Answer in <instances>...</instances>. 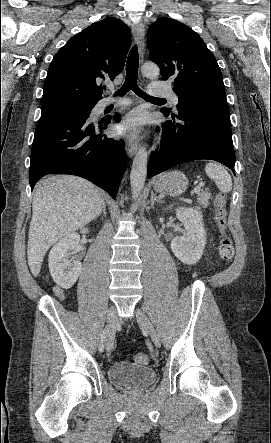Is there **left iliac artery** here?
Masks as SVG:
<instances>
[{"label": "left iliac artery", "mask_w": 271, "mask_h": 443, "mask_svg": "<svg viewBox=\"0 0 271 443\" xmlns=\"http://www.w3.org/2000/svg\"><path fill=\"white\" fill-rule=\"evenodd\" d=\"M147 345H148V347H149V350L151 351V352H153V347H152V344H151V342H147Z\"/></svg>", "instance_id": "44dca946"}]
</instances>
